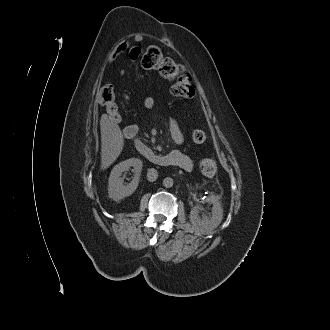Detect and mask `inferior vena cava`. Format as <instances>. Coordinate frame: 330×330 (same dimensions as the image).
<instances>
[{"label": "inferior vena cava", "mask_w": 330, "mask_h": 330, "mask_svg": "<svg viewBox=\"0 0 330 330\" xmlns=\"http://www.w3.org/2000/svg\"><path fill=\"white\" fill-rule=\"evenodd\" d=\"M158 178V172L156 169L151 168L147 172V180L150 182H154Z\"/></svg>", "instance_id": "1"}]
</instances>
